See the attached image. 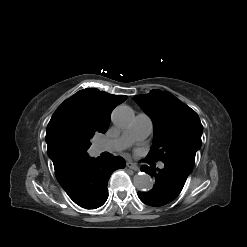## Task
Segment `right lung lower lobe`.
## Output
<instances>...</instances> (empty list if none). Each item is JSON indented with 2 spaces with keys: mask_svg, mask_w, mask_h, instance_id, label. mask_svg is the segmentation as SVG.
I'll return each mask as SVG.
<instances>
[{
  "mask_svg": "<svg viewBox=\"0 0 247 247\" xmlns=\"http://www.w3.org/2000/svg\"><path fill=\"white\" fill-rule=\"evenodd\" d=\"M125 166L124 159L119 156L112 160L89 158L63 164L55 169V175L76 204L86 209H96L108 198L107 183L112 172Z\"/></svg>",
  "mask_w": 247,
  "mask_h": 247,
  "instance_id": "obj_1",
  "label": "right lung lower lobe"
}]
</instances>
